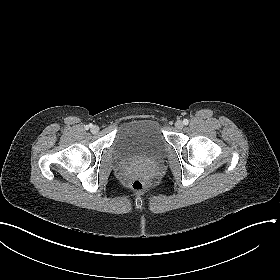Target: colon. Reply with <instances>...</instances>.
Instances as JSON below:
<instances>
[{"label":"colon","instance_id":"obj_1","mask_svg":"<svg viewBox=\"0 0 280 280\" xmlns=\"http://www.w3.org/2000/svg\"><path fill=\"white\" fill-rule=\"evenodd\" d=\"M130 186L135 193H143L150 188L148 181L141 175H136L131 181Z\"/></svg>","mask_w":280,"mask_h":280}]
</instances>
